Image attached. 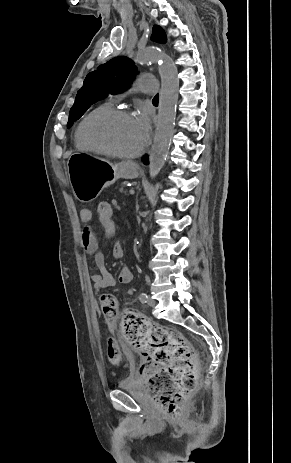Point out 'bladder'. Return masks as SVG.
Segmentation results:
<instances>
[{
  "instance_id": "obj_1",
  "label": "bladder",
  "mask_w": 291,
  "mask_h": 463,
  "mask_svg": "<svg viewBox=\"0 0 291 463\" xmlns=\"http://www.w3.org/2000/svg\"><path fill=\"white\" fill-rule=\"evenodd\" d=\"M127 361L129 364L133 361V356H127ZM137 380L129 372H126L122 377L117 381V387L119 388H128L137 385Z\"/></svg>"
}]
</instances>
